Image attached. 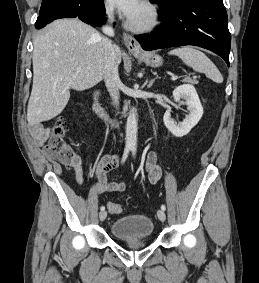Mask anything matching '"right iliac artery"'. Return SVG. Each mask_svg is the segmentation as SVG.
<instances>
[{"label": "right iliac artery", "instance_id": "1", "mask_svg": "<svg viewBox=\"0 0 259 283\" xmlns=\"http://www.w3.org/2000/svg\"><path fill=\"white\" fill-rule=\"evenodd\" d=\"M129 151H130V148H129V147H126L125 150H124L123 157H122V161H121L122 163L125 162V160H126V158H127V156H128ZM100 210H101V211L105 210V207H104V206H101V207H100Z\"/></svg>", "mask_w": 259, "mask_h": 283}]
</instances>
